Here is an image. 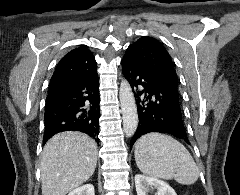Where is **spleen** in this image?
I'll return each mask as SVG.
<instances>
[{
	"instance_id": "obj_1",
	"label": "spleen",
	"mask_w": 240,
	"mask_h": 195,
	"mask_svg": "<svg viewBox=\"0 0 240 195\" xmlns=\"http://www.w3.org/2000/svg\"><path fill=\"white\" fill-rule=\"evenodd\" d=\"M135 161L142 173L161 179H176L183 185L195 183L199 177L191 153L183 143L166 133H145L135 143Z\"/></svg>"
}]
</instances>
